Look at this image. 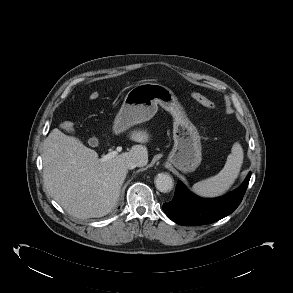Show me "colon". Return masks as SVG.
<instances>
[{"instance_id": "5ec220e1", "label": "colon", "mask_w": 293, "mask_h": 293, "mask_svg": "<svg viewBox=\"0 0 293 293\" xmlns=\"http://www.w3.org/2000/svg\"><path fill=\"white\" fill-rule=\"evenodd\" d=\"M99 97V93L97 91H93L90 93L89 98L91 100H95ZM191 97L198 102L199 104H201L202 106L208 108V109H215L216 105L214 104L213 101H211L209 98H207L206 96H204L203 94L199 93V92H193L191 94ZM73 125L71 122L69 121H65L61 124V128L64 131H71Z\"/></svg>"}]
</instances>
